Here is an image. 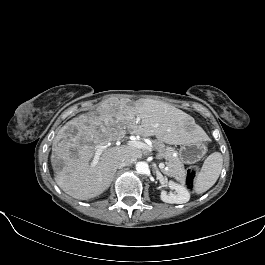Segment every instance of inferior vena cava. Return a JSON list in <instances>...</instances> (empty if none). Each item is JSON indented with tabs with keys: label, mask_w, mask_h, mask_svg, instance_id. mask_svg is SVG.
I'll return each mask as SVG.
<instances>
[{
	"label": "inferior vena cava",
	"mask_w": 265,
	"mask_h": 265,
	"mask_svg": "<svg viewBox=\"0 0 265 265\" xmlns=\"http://www.w3.org/2000/svg\"><path fill=\"white\" fill-rule=\"evenodd\" d=\"M135 160H136L135 157L127 156L118 162L117 168H122L124 166H128V165L132 164Z\"/></svg>",
	"instance_id": "inferior-vena-cava-1"
}]
</instances>
